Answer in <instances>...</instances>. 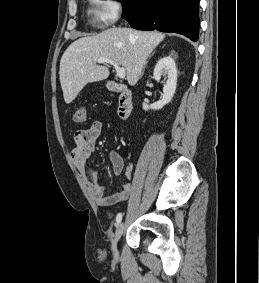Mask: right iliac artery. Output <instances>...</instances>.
<instances>
[{"mask_svg": "<svg viewBox=\"0 0 259 283\" xmlns=\"http://www.w3.org/2000/svg\"><path fill=\"white\" fill-rule=\"evenodd\" d=\"M122 220V213H119L117 216H116V225L118 226L120 224Z\"/></svg>", "mask_w": 259, "mask_h": 283, "instance_id": "obj_1", "label": "right iliac artery"}]
</instances>
